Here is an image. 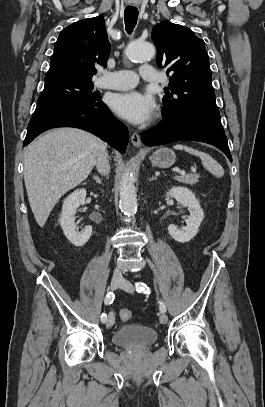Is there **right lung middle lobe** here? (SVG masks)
<instances>
[{"label": "right lung middle lobe", "instance_id": "dd1d6c3e", "mask_svg": "<svg viewBox=\"0 0 265 407\" xmlns=\"http://www.w3.org/2000/svg\"><path fill=\"white\" fill-rule=\"evenodd\" d=\"M92 81L74 79L46 80L31 119L73 107L95 104L100 100Z\"/></svg>", "mask_w": 265, "mask_h": 407}]
</instances>
